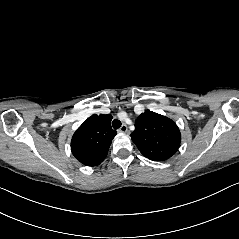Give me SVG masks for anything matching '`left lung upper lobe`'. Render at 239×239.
I'll list each match as a JSON object with an SVG mask.
<instances>
[{
    "mask_svg": "<svg viewBox=\"0 0 239 239\" xmlns=\"http://www.w3.org/2000/svg\"><path fill=\"white\" fill-rule=\"evenodd\" d=\"M132 141L148 159L163 161L176 153L181 134L176 123L160 114L145 111L137 118Z\"/></svg>",
    "mask_w": 239,
    "mask_h": 239,
    "instance_id": "obj_1",
    "label": "left lung upper lobe"
}]
</instances>
